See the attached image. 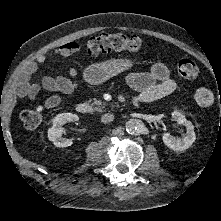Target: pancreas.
<instances>
[{"instance_id": "1", "label": "pancreas", "mask_w": 221, "mask_h": 221, "mask_svg": "<svg viewBox=\"0 0 221 221\" xmlns=\"http://www.w3.org/2000/svg\"><path fill=\"white\" fill-rule=\"evenodd\" d=\"M94 106L92 107L93 112H102L105 106L102 104V102L98 99H94L93 101Z\"/></svg>"}]
</instances>
